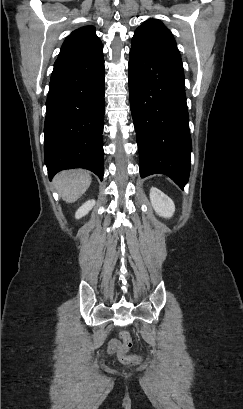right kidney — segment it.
Here are the masks:
<instances>
[{"instance_id": "ca27d5eb", "label": "right kidney", "mask_w": 243, "mask_h": 409, "mask_svg": "<svg viewBox=\"0 0 243 409\" xmlns=\"http://www.w3.org/2000/svg\"><path fill=\"white\" fill-rule=\"evenodd\" d=\"M95 205V200H88L85 202L75 213V218L80 219L83 216L87 215L88 212L93 208Z\"/></svg>"}]
</instances>
